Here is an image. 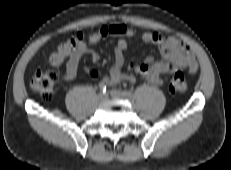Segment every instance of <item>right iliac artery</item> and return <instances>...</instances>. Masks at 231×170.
I'll return each mask as SVG.
<instances>
[{
  "instance_id": "obj_1",
  "label": "right iliac artery",
  "mask_w": 231,
  "mask_h": 170,
  "mask_svg": "<svg viewBox=\"0 0 231 170\" xmlns=\"http://www.w3.org/2000/svg\"><path fill=\"white\" fill-rule=\"evenodd\" d=\"M99 87H100V90L103 92V93H106L107 91V86L103 83H100L99 84Z\"/></svg>"
}]
</instances>
